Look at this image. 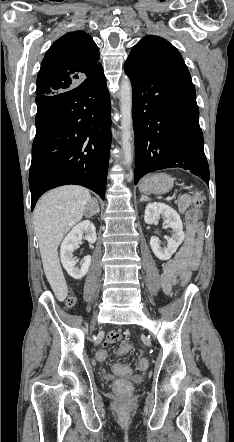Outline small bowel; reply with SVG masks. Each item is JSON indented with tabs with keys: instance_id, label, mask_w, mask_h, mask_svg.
<instances>
[{
	"instance_id": "small-bowel-1",
	"label": "small bowel",
	"mask_w": 234,
	"mask_h": 442,
	"mask_svg": "<svg viewBox=\"0 0 234 442\" xmlns=\"http://www.w3.org/2000/svg\"><path fill=\"white\" fill-rule=\"evenodd\" d=\"M189 204L190 198L188 195L182 196L178 203L179 210L183 214L187 222L188 237L185 244L177 251L174 257L164 265L161 275V284L164 292L167 294L171 293L177 277L181 273L183 274L185 271L189 270V268L191 267V239L197 228L198 215L197 213L188 210ZM119 340L120 335L116 332H111L104 343V347Z\"/></svg>"
}]
</instances>
